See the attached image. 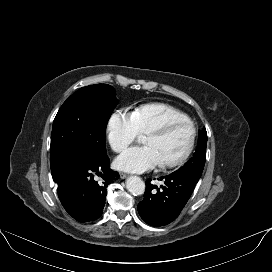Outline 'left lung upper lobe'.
Returning a JSON list of instances; mask_svg holds the SVG:
<instances>
[{"instance_id": "obj_1", "label": "left lung upper lobe", "mask_w": 272, "mask_h": 272, "mask_svg": "<svg viewBox=\"0 0 272 272\" xmlns=\"http://www.w3.org/2000/svg\"><path fill=\"white\" fill-rule=\"evenodd\" d=\"M198 144L196 151L192 158L188 160V162L175 171V174L178 175H190L197 178L201 177L205 160H206V146H207V132L206 129L203 128L198 132Z\"/></svg>"}]
</instances>
